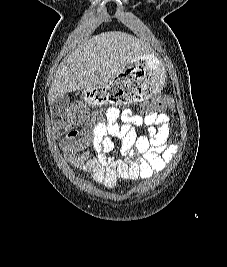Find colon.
Masks as SVG:
<instances>
[{
  "mask_svg": "<svg viewBox=\"0 0 227 267\" xmlns=\"http://www.w3.org/2000/svg\"><path fill=\"white\" fill-rule=\"evenodd\" d=\"M172 105L173 101L170 98L156 97L152 105H141V110H147V115H158V113H164L165 109ZM86 119H102V114H89L84 102H75L60 115L54 125L55 132L64 134L67 130L81 125Z\"/></svg>",
  "mask_w": 227,
  "mask_h": 267,
  "instance_id": "5ec220e1",
  "label": "colon"
}]
</instances>
